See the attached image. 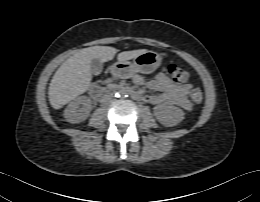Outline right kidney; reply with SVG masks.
<instances>
[{
    "instance_id": "1",
    "label": "right kidney",
    "mask_w": 260,
    "mask_h": 202,
    "mask_svg": "<svg viewBox=\"0 0 260 202\" xmlns=\"http://www.w3.org/2000/svg\"><path fill=\"white\" fill-rule=\"evenodd\" d=\"M91 109L90 98L80 96L69 103L64 110V118L70 123H80L88 118Z\"/></svg>"
}]
</instances>
